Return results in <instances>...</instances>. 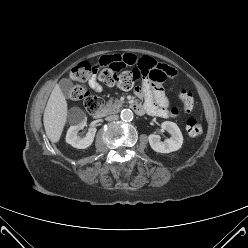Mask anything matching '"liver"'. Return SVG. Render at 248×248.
<instances>
[{
	"label": "liver",
	"instance_id": "obj_1",
	"mask_svg": "<svg viewBox=\"0 0 248 248\" xmlns=\"http://www.w3.org/2000/svg\"><path fill=\"white\" fill-rule=\"evenodd\" d=\"M67 101L59 84H56L48 99L43 123L49 140L56 143L60 140L67 120Z\"/></svg>",
	"mask_w": 248,
	"mask_h": 248
}]
</instances>
